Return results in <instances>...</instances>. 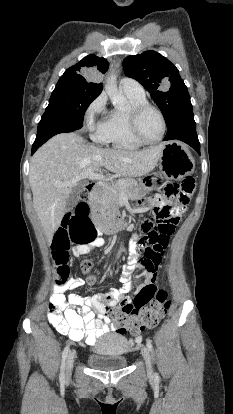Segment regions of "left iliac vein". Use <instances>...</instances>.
Returning <instances> with one entry per match:
<instances>
[{
    "label": "left iliac vein",
    "mask_w": 233,
    "mask_h": 414,
    "mask_svg": "<svg viewBox=\"0 0 233 414\" xmlns=\"http://www.w3.org/2000/svg\"><path fill=\"white\" fill-rule=\"evenodd\" d=\"M141 353H142V356L146 364L147 373L151 374L152 373L151 358H150V353H149L148 348L146 347L142 348Z\"/></svg>",
    "instance_id": "4c4485c4"
}]
</instances>
